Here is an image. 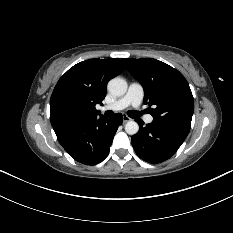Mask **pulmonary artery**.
Masks as SVG:
<instances>
[{
    "mask_svg": "<svg viewBox=\"0 0 233 233\" xmlns=\"http://www.w3.org/2000/svg\"><path fill=\"white\" fill-rule=\"evenodd\" d=\"M143 96V87L139 83L133 82L129 85L128 91L123 97L119 98L118 100L114 101L109 105L103 106L101 110L119 111L125 109L128 106L139 108L142 103ZM144 120L147 123H151L153 121V117L151 115H146L144 117Z\"/></svg>",
    "mask_w": 233,
    "mask_h": 233,
    "instance_id": "obj_1",
    "label": "pulmonary artery"
}]
</instances>
